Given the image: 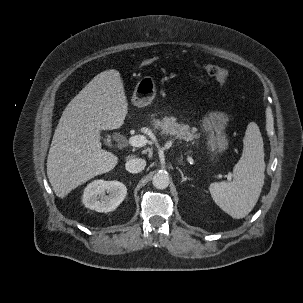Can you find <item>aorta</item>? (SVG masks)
Segmentation results:
<instances>
[{
	"mask_svg": "<svg viewBox=\"0 0 303 303\" xmlns=\"http://www.w3.org/2000/svg\"><path fill=\"white\" fill-rule=\"evenodd\" d=\"M152 184L157 189H165L169 185V175L166 172H158L153 176Z\"/></svg>",
	"mask_w": 303,
	"mask_h": 303,
	"instance_id": "1",
	"label": "aorta"
}]
</instances>
